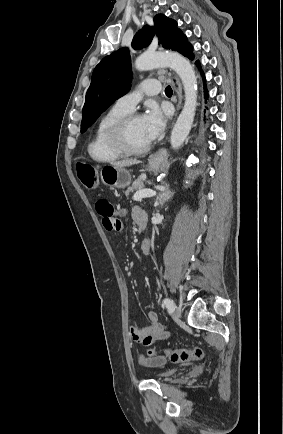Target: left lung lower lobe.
I'll list each match as a JSON object with an SVG mask.
<instances>
[{"label": "left lung lower lobe", "instance_id": "1", "mask_svg": "<svg viewBox=\"0 0 283 434\" xmlns=\"http://www.w3.org/2000/svg\"><path fill=\"white\" fill-rule=\"evenodd\" d=\"M196 65L199 66V61H196ZM202 75H204V74L202 73ZM204 97H205V100L208 99V93H207L206 89H205V91H204ZM205 102H206V101H205Z\"/></svg>", "mask_w": 283, "mask_h": 434}]
</instances>
